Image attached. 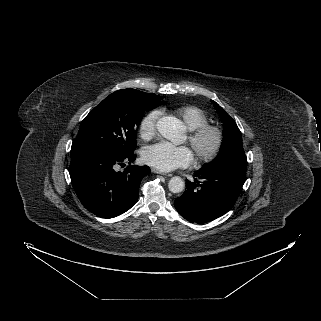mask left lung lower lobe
<instances>
[{"label": "left lung lower lobe", "instance_id": "left-lung-lower-lobe-1", "mask_svg": "<svg viewBox=\"0 0 321 321\" xmlns=\"http://www.w3.org/2000/svg\"><path fill=\"white\" fill-rule=\"evenodd\" d=\"M246 159L217 162L197 171L194 182L187 180L182 196L176 198V210L188 221L203 224L212 221L235 204L246 180Z\"/></svg>", "mask_w": 321, "mask_h": 321}]
</instances>
